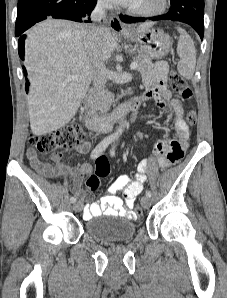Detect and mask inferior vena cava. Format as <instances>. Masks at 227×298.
<instances>
[{"mask_svg":"<svg viewBox=\"0 0 227 298\" xmlns=\"http://www.w3.org/2000/svg\"><path fill=\"white\" fill-rule=\"evenodd\" d=\"M110 4L108 0H98L95 9L91 14V20L94 22H99L103 18L105 14V10L109 8ZM98 27L95 25H89L85 29V33L87 35V39L89 44L91 45V50L94 54L95 59V71L93 77V84L99 94L104 92L105 84H106V67L101 60L99 55V45H98V37H97Z\"/></svg>","mask_w":227,"mask_h":298,"instance_id":"1","label":"inferior vena cava"}]
</instances>
